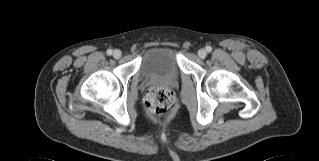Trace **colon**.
I'll return each instance as SVG.
<instances>
[{"label": "colon", "instance_id": "obj_1", "mask_svg": "<svg viewBox=\"0 0 319 161\" xmlns=\"http://www.w3.org/2000/svg\"><path fill=\"white\" fill-rule=\"evenodd\" d=\"M144 105L149 114L157 118L172 115L176 110L173 92L163 86L150 88L144 95Z\"/></svg>", "mask_w": 319, "mask_h": 161}]
</instances>
